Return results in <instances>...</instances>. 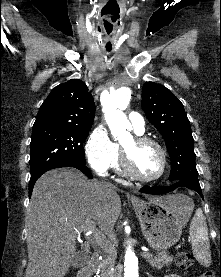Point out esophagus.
Listing matches in <instances>:
<instances>
[{"mask_svg":"<svg viewBox=\"0 0 221 277\" xmlns=\"http://www.w3.org/2000/svg\"><path fill=\"white\" fill-rule=\"evenodd\" d=\"M131 198H132V199H135V197H134V196H132Z\"/></svg>","mask_w":221,"mask_h":277,"instance_id":"34e87169","label":"esophagus"}]
</instances>
